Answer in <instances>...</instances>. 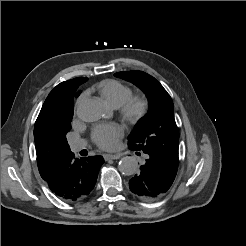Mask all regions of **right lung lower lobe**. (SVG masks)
<instances>
[{"instance_id":"right-lung-lower-lobe-1","label":"right lung lower lobe","mask_w":246,"mask_h":246,"mask_svg":"<svg viewBox=\"0 0 246 246\" xmlns=\"http://www.w3.org/2000/svg\"><path fill=\"white\" fill-rule=\"evenodd\" d=\"M103 163L104 159L100 155L79 160L72 153L44 180L60 199L67 202L79 201L93 190Z\"/></svg>"}]
</instances>
